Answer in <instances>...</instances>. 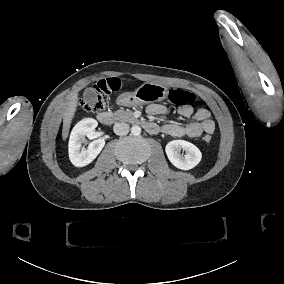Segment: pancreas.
Listing matches in <instances>:
<instances>
[{"instance_id":"pancreas-1","label":"pancreas","mask_w":284,"mask_h":284,"mask_svg":"<svg viewBox=\"0 0 284 284\" xmlns=\"http://www.w3.org/2000/svg\"><path fill=\"white\" fill-rule=\"evenodd\" d=\"M115 120L123 122L137 123L138 119L133 116V112L130 110H117L112 113Z\"/></svg>"}]
</instances>
